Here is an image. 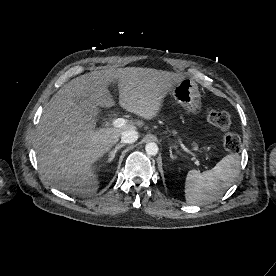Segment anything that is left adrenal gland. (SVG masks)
<instances>
[{
	"instance_id": "1",
	"label": "left adrenal gland",
	"mask_w": 276,
	"mask_h": 276,
	"mask_svg": "<svg viewBox=\"0 0 276 276\" xmlns=\"http://www.w3.org/2000/svg\"><path fill=\"white\" fill-rule=\"evenodd\" d=\"M170 157H171V159H175L176 157L173 155V153H172V149L170 148Z\"/></svg>"
}]
</instances>
